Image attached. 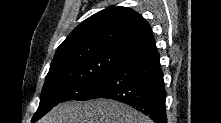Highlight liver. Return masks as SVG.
<instances>
[{
    "label": "liver",
    "instance_id": "obj_1",
    "mask_svg": "<svg viewBox=\"0 0 221 123\" xmlns=\"http://www.w3.org/2000/svg\"><path fill=\"white\" fill-rule=\"evenodd\" d=\"M39 123H152L125 104L96 99L87 102L70 101L53 108Z\"/></svg>",
    "mask_w": 221,
    "mask_h": 123
}]
</instances>
